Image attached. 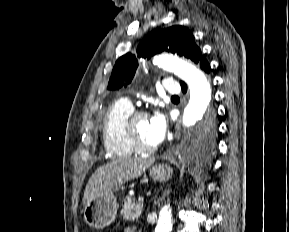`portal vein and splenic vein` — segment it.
<instances>
[{
    "mask_svg": "<svg viewBox=\"0 0 289 232\" xmlns=\"http://www.w3.org/2000/svg\"><path fill=\"white\" fill-rule=\"evenodd\" d=\"M138 201H139V202H143V201H144V198H143V197H139V198H138Z\"/></svg>",
    "mask_w": 289,
    "mask_h": 232,
    "instance_id": "obj_1",
    "label": "portal vein and splenic vein"
}]
</instances>
